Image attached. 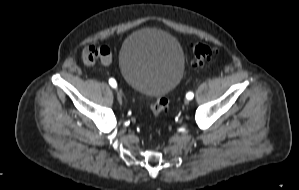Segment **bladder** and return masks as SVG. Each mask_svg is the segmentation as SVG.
<instances>
[{"mask_svg":"<svg viewBox=\"0 0 299 190\" xmlns=\"http://www.w3.org/2000/svg\"><path fill=\"white\" fill-rule=\"evenodd\" d=\"M119 67L134 90L146 96L163 97L180 82L185 60L174 36L162 30L140 29L123 43Z\"/></svg>","mask_w":299,"mask_h":190,"instance_id":"31cf9c89","label":"bladder"}]
</instances>
